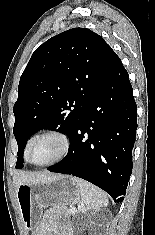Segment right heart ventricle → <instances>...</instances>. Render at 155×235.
<instances>
[{
    "label": "right heart ventricle",
    "mask_w": 155,
    "mask_h": 235,
    "mask_svg": "<svg viewBox=\"0 0 155 235\" xmlns=\"http://www.w3.org/2000/svg\"><path fill=\"white\" fill-rule=\"evenodd\" d=\"M34 137L35 136H31L26 142L25 149H24V158H25V153H26L27 147L29 146V144L31 143V141L33 140Z\"/></svg>",
    "instance_id": "right-heart-ventricle-1"
}]
</instances>
